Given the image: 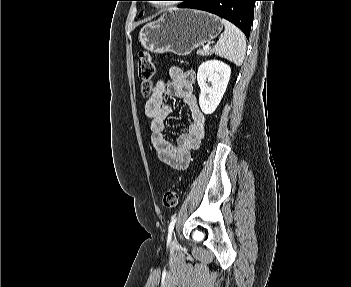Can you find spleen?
Returning <instances> with one entry per match:
<instances>
[{
  "instance_id": "1",
  "label": "spleen",
  "mask_w": 351,
  "mask_h": 287,
  "mask_svg": "<svg viewBox=\"0 0 351 287\" xmlns=\"http://www.w3.org/2000/svg\"><path fill=\"white\" fill-rule=\"evenodd\" d=\"M221 22L225 30L217 41L214 52L216 55L233 62L236 66H240L246 53L245 35L229 21L222 19Z\"/></svg>"
}]
</instances>
